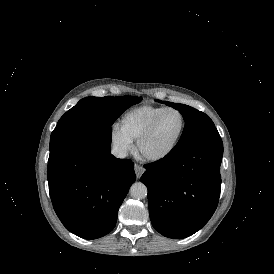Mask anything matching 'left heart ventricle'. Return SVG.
<instances>
[{
	"label": "left heart ventricle",
	"mask_w": 274,
	"mask_h": 274,
	"mask_svg": "<svg viewBox=\"0 0 274 274\" xmlns=\"http://www.w3.org/2000/svg\"><path fill=\"white\" fill-rule=\"evenodd\" d=\"M182 126V118L174 111L166 112L152 133L144 140L142 151L148 156H159L166 152L177 137Z\"/></svg>",
	"instance_id": "obj_1"
}]
</instances>
